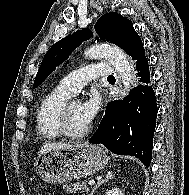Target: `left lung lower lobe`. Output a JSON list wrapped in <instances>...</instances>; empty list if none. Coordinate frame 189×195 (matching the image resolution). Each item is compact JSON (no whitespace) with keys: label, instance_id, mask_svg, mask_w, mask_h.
<instances>
[{"label":"left lung lower lobe","instance_id":"left-lung-lower-lobe-1","mask_svg":"<svg viewBox=\"0 0 189 195\" xmlns=\"http://www.w3.org/2000/svg\"><path fill=\"white\" fill-rule=\"evenodd\" d=\"M139 84L124 100L109 102L90 143L103 144L115 154L131 155L149 166L156 126L157 103L150 85L146 57L136 62Z\"/></svg>","mask_w":189,"mask_h":195}]
</instances>
